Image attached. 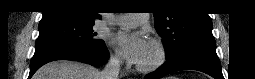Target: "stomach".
<instances>
[{
	"label": "stomach",
	"mask_w": 255,
	"mask_h": 79,
	"mask_svg": "<svg viewBox=\"0 0 255 79\" xmlns=\"http://www.w3.org/2000/svg\"><path fill=\"white\" fill-rule=\"evenodd\" d=\"M168 79H176L175 77H168Z\"/></svg>",
	"instance_id": "obj_1"
}]
</instances>
